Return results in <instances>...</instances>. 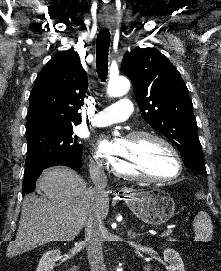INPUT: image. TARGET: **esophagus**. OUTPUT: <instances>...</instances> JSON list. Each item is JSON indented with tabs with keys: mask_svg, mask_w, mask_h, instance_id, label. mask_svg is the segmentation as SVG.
Here are the masks:
<instances>
[{
	"mask_svg": "<svg viewBox=\"0 0 221 271\" xmlns=\"http://www.w3.org/2000/svg\"><path fill=\"white\" fill-rule=\"evenodd\" d=\"M122 191L127 192V191H128V189H127V188H123V189H122Z\"/></svg>",
	"mask_w": 221,
	"mask_h": 271,
	"instance_id": "esophagus-1",
	"label": "esophagus"
}]
</instances>
